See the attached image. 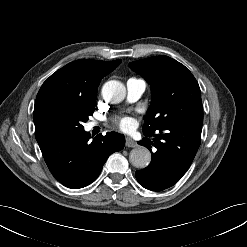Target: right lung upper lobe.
Here are the masks:
<instances>
[{"label":"right lung upper lobe","mask_w":247,"mask_h":247,"mask_svg":"<svg viewBox=\"0 0 247 247\" xmlns=\"http://www.w3.org/2000/svg\"><path fill=\"white\" fill-rule=\"evenodd\" d=\"M120 63L121 60L81 59L67 64L43 83L37 94L34 109L49 100L96 102L101 79Z\"/></svg>","instance_id":"1"}]
</instances>
